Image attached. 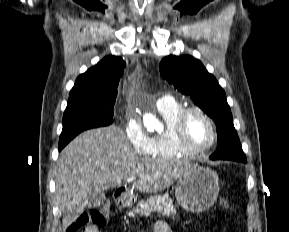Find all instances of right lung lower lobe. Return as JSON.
<instances>
[{"label": "right lung lower lobe", "mask_w": 289, "mask_h": 232, "mask_svg": "<svg viewBox=\"0 0 289 232\" xmlns=\"http://www.w3.org/2000/svg\"><path fill=\"white\" fill-rule=\"evenodd\" d=\"M63 147H59V150H61Z\"/></svg>", "instance_id": "1"}]
</instances>
